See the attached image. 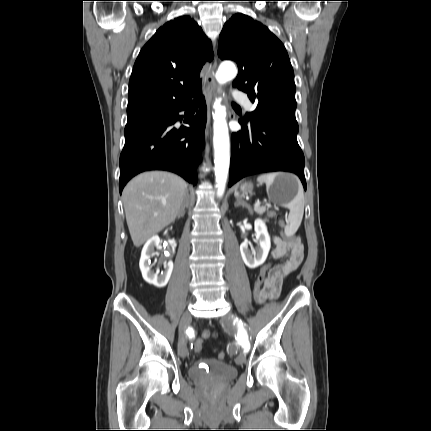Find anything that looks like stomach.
<instances>
[{"label": "stomach", "instance_id": "0dacf381", "mask_svg": "<svg viewBox=\"0 0 431 431\" xmlns=\"http://www.w3.org/2000/svg\"><path fill=\"white\" fill-rule=\"evenodd\" d=\"M298 179L289 173H279L273 183L267 186V194L269 200L279 206H287L298 194L299 190ZM253 185L245 183L241 185L242 194L252 192Z\"/></svg>", "mask_w": 431, "mask_h": 431}]
</instances>
